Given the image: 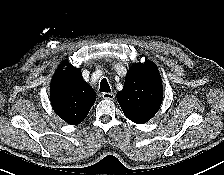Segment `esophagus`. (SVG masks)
Returning a JSON list of instances; mask_svg holds the SVG:
<instances>
[{"mask_svg": "<svg viewBox=\"0 0 224 175\" xmlns=\"http://www.w3.org/2000/svg\"><path fill=\"white\" fill-rule=\"evenodd\" d=\"M101 97L106 100H113L115 98L114 93H102Z\"/></svg>", "mask_w": 224, "mask_h": 175, "instance_id": "34e87169", "label": "esophagus"}]
</instances>
